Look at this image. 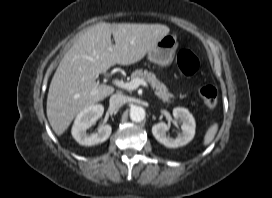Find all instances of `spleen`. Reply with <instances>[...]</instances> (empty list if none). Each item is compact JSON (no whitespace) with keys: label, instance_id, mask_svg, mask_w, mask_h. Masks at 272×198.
<instances>
[{"label":"spleen","instance_id":"spleen-1","mask_svg":"<svg viewBox=\"0 0 272 198\" xmlns=\"http://www.w3.org/2000/svg\"><path fill=\"white\" fill-rule=\"evenodd\" d=\"M217 131H218L217 123H213L212 125H210V127L207 129L204 135V139H203L204 146L209 145L214 140V137L217 134Z\"/></svg>","mask_w":272,"mask_h":198}]
</instances>
